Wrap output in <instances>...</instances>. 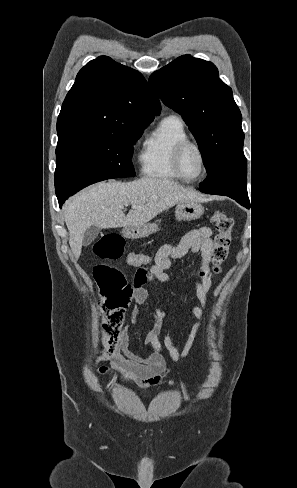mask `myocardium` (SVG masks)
Wrapping results in <instances>:
<instances>
[{"label":"myocardium","mask_w":297,"mask_h":488,"mask_svg":"<svg viewBox=\"0 0 297 488\" xmlns=\"http://www.w3.org/2000/svg\"><path fill=\"white\" fill-rule=\"evenodd\" d=\"M188 147L195 148L201 157L202 168H201L200 173L195 177H187L183 173L182 168H181V158H182L184 151ZM172 168H173L174 172L176 173V175L184 181L195 182V181L201 179L207 170V158H206L205 151L203 150V148L198 143H196L195 141H192L190 139H186V140L179 142L173 151Z\"/></svg>","instance_id":"obj_1"}]
</instances>
